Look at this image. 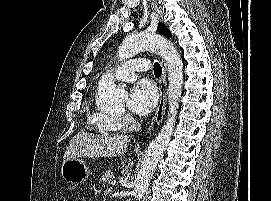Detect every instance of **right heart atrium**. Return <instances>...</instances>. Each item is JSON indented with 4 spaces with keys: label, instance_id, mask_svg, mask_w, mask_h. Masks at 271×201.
I'll return each mask as SVG.
<instances>
[{
    "label": "right heart atrium",
    "instance_id": "right-heart-atrium-1",
    "mask_svg": "<svg viewBox=\"0 0 271 201\" xmlns=\"http://www.w3.org/2000/svg\"><path fill=\"white\" fill-rule=\"evenodd\" d=\"M111 121L122 129H130L134 126L135 120L130 114H122L117 117H111Z\"/></svg>",
    "mask_w": 271,
    "mask_h": 201
}]
</instances>
